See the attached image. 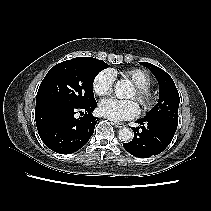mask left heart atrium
<instances>
[{
    "instance_id": "39dd6f15",
    "label": "left heart atrium",
    "mask_w": 211,
    "mask_h": 211,
    "mask_svg": "<svg viewBox=\"0 0 211 211\" xmlns=\"http://www.w3.org/2000/svg\"><path fill=\"white\" fill-rule=\"evenodd\" d=\"M102 116L114 121L131 119L139 114V106L134 100L105 99L99 104Z\"/></svg>"
}]
</instances>
